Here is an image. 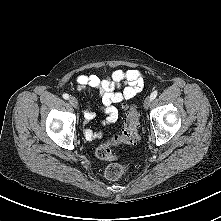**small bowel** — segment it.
<instances>
[{
    "label": "small bowel",
    "instance_id": "1",
    "mask_svg": "<svg viewBox=\"0 0 221 221\" xmlns=\"http://www.w3.org/2000/svg\"><path fill=\"white\" fill-rule=\"evenodd\" d=\"M75 84L78 91H96L99 94L101 110L105 114L102 124L108 125L118 119L116 104L130 100L142 90L144 76L135 68L116 69L109 78H100L96 75H78ZM94 117L93 110L87 109L84 112L85 123L90 122ZM84 135L87 140L92 141L102 138L103 133L85 127Z\"/></svg>",
    "mask_w": 221,
    "mask_h": 221
}]
</instances>
